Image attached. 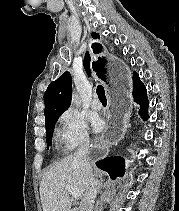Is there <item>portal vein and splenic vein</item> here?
Here are the masks:
<instances>
[{"mask_svg": "<svg viewBox=\"0 0 179 211\" xmlns=\"http://www.w3.org/2000/svg\"><path fill=\"white\" fill-rule=\"evenodd\" d=\"M66 189L68 190V192L71 194V196L73 198H79L80 197V192L76 188H74V187H72L70 185H67Z\"/></svg>", "mask_w": 179, "mask_h": 211, "instance_id": "1", "label": "portal vein and splenic vein"}]
</instances>
